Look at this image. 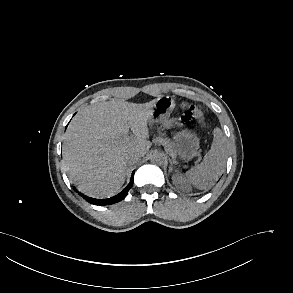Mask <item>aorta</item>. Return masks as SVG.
Listing matches in <instances>:
<instances>
[{
  "mask_svg": "<svg viewBox=\"0 0 293 293\" xmlns=\"http://www.w3.org/2000/svg\"><path fill=\"white\" fill-rule=\"evenodd\" d=\"M165 161V156L162 153L156 152L151 156V162L157 165H162Z\"/></svg>",
  "mask_w": 293,
  "mask_h": 293,
  "instance_id": "obj_1",
  "label": "aorta"
}]
</instances>
